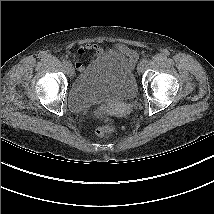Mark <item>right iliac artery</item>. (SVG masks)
Segmentation results:
<instances>
[{"label": "right iliac artery", "instance_id": "1", "mask_svg": "<svg viewBox=\"0 0 214 214\" xmlns=\"http://www.w3.org/2000/svg\"><path fill=\"white\" fill-rule=\"evenodd\" d=\"M68 63H69V62H68L67 60H65V59L63 60V64H64V65H67Z\"/></svg>", "mask_w": 214, "mask_h": 214}]
</instances>
